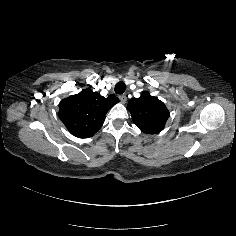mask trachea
Listing matches in <instances>:
<instances>
[{"mask_svg":"<svg viewBox=\"0 0 236 236\" xmlns=\"http://www.w3.org/2000/svg\"><path fill=\"white\" fill-rule=\"evenodd\" d=\"M115 93L122 95L126 90V85L124 82L120 81L115 85Z\"/></svg>","mask_w":236,"mask_h":236,"instance_id":"trachea-1","label":"trachea"}]
</instances>
